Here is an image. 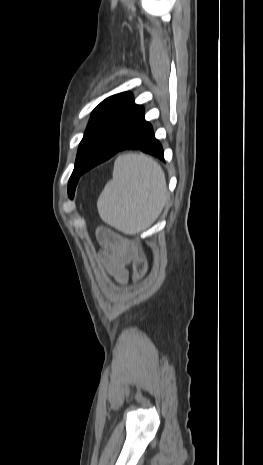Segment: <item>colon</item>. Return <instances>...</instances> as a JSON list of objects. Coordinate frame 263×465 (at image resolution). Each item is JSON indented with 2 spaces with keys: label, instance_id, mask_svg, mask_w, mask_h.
I'll return each instance as SVG.
<instances>
[{
  "label": "colon",
  "instance_id": "1",
  "mask_svg": "<svg viewBox=\"0 0 263 465\" xmlns=\"http://www.w3.org/2000/svg\"><path fill=\"white\" fill-rule=\"evenodd\" d=\"M147 269L146 259L142 254H138L133 261L134 278L139 279L142 277Z\"/></svg>",
  "mask_w": 263,
  "mask_h": 465
}]
</instances>
